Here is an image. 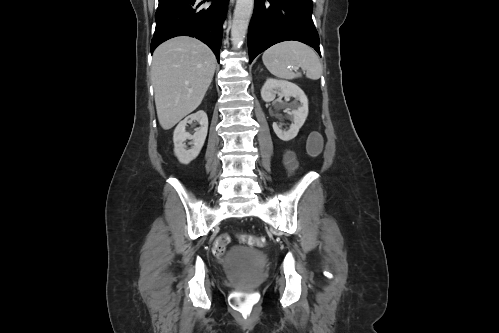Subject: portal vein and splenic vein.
Returning <instances> with one entry per match:
<instances>
[{
  "mask_svg": "<svg viewBox=\"0 0 499 333\" xmlns=\"http://www.w3.org/2000/svg\"><path fill=\"white\" fill-rule=\"evenodd\" d=\"M294 69H295V70H297V69H298V67H295Z\"/></svg>",
  "mask_w": 499,
  "mask_h": 333,
  "instance_id": "18ae733b",
  "label": "portal vein and splenic vein"
}]
</instances>
